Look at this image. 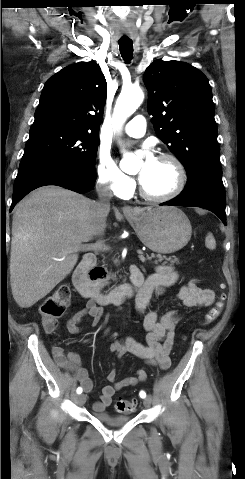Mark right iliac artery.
Here are the masks:
<instances>
[{
  "label": "right iliac artery",
  "mask_w": 245,
  "mask_h": 479,
  "mask_svg": "<svg viewBox=\"0 0 245 479\" xmlns=\"http://www.w3.org/2000/svg\"><path fill=\"white\" fill-rule=\"evenodd\" d=\"M82 391H83V390H82V388H81V387H78V388H77V390H76L77 394H81V393H82Z\"/></svg>",
  "instance_id": "1"
}]
</instances>
